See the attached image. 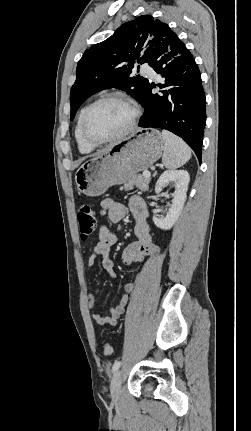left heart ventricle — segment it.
<instances>
[{
    "label": "left heart ventricle",
    "mask_w": 251,
    "mask_h": 431,
    "mask_svg": "<svg viewBox=\"0 0 251 431\" xmlns=\"http://www.w3.org/2000/svg\"><path fill=\"white\" fill-rule=\"evenodd\" d=\"M131 118L132 110L127 105L116 101L104 102L91 113L87 131L96 140L109 138L122 132Z\"/></svg>",
    "instance_id": "b2bd125f"
}]
</instances>
